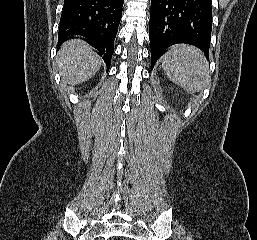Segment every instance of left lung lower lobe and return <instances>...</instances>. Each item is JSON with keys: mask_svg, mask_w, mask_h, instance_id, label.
Returning a JSON list of instances; mask_svg holds the SVG:
<instances>
[{"mask_svg": "<svg viewBox=\"0 0 257 240\" xmlns=\"http://www.w3.org/2000/svg\"><path fill=\"white\" fill-rule=\"evenodd\" d=\"M211 0H151V69L171 45L191 44L209 59Z\"/></svg>", "mask_w": 257, "mask_h": 240, "instance_id": "1", "label": "left lung lower lobe"}]
</instances>
